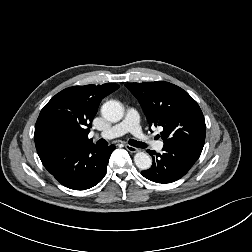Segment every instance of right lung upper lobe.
Wrapping results in <instances>:
<instances>
[{
  "instance_id": "right-lung-upper-lobe-1",
  "label": "right lung upper lobe",
  "mask_w": 252,
  "mask_h": 252,
  "mask_svg": "<svg viewBox=\"0 0 252 252\" xmlns=\"http://www.w3.org/2000/svg\"><path fill=\"white\" fill-rule=\"evenodd\" d=\"M118 88L117 84L73 86L56 94L41 110L35 125L38 155L62 144H93L87 136L98 106Z\"/></svg>"
}]
</instances>
